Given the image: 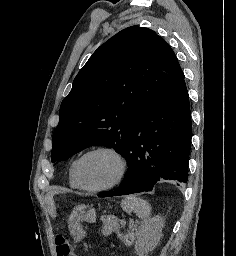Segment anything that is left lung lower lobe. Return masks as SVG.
<instances>
[{"label":"left lung lower lobe","instance_id":"1","mask_svg":"<svg viewBox=\"0 0 236 256\" xmlns=\"http://www.w3.org/2000/svg\"><path fill=\"white\" fill-rule=\"evenodd\" d=\"M191 147V113L184 77L153 102L130 131L125 159L128 170L115 191L99 197L151 191L169 179L187 182Z\"/></svg>","mask_w":236,"mask_h":256}]
</instances>
